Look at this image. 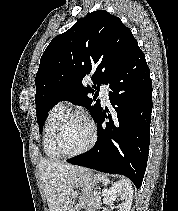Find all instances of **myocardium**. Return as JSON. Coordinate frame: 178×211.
<instances>
[{"mask_svg": "<svg viewBox=\"0 0 178 211\" xmlns=\"http://www.w3.org/2000/svg\"><path fill=\"white\" fill-rule=\"evenodd\" d=\"M75 117L81 118L87 122V124L89 125V129H90V139H89V142L87 143V145L84 148H82L80 151H77L75 153H65V152L61 151V149H60V144H59L60 136H61L63 129L69 122V120H71L72 118H75ZM96 138H97L96 124L87 114L80 112V111H68L56 129L55 136H54V147H55V150L57 151V153L61 157L72 158V157L82 155V154L86 153L87 151H89L94 146V144L96 142Z\"/></svg>", "mask_w": 178, "mask_h": 211, "instance_id": "f54148a6", "label": "myocardium"}]
</instances>
